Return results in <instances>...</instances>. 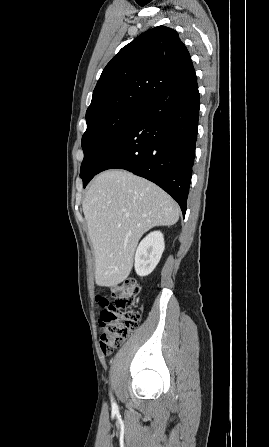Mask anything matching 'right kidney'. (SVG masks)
<instances>
[{"instance_id":"right-kidney-1","label":"right kidney","mask_w":269,"mask_h":447,"mask_svg":"<svg viewBox=\"0 0 269 447\" xmlns=\"http://www.w3.org/2000/svg\"><path fill=\"white\" fill-rule=\"evenodd\" d=\"M165 249L161 231H150L141 239L135 253V271L137 275H148L160 261Z\"/></svg>"}]
</instances>
